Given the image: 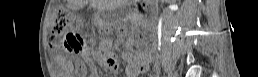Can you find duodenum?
Listing matches in <instances>:
<instances>
[{"label":"duodenum","mask_w":258,"mask_h":77,"mask_svg":"<svg viewBox=\"0 0 258 77\" xmlns=\"http://www.w3.org/2000/svg\"><path fill=\"white\" fill-rule=\"evenodd\" d=\"M137 3H141V1H137ZM136 12L137 14L141 15V9L139 7L136 8Z\"/></svg>","instance_id":"duodenum-1"}]
</instances>
